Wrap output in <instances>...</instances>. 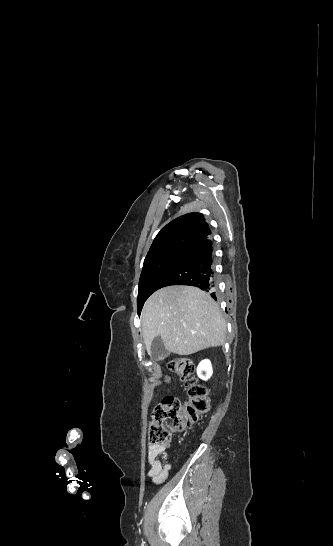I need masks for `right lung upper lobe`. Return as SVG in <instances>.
Returning a JSON list of instances; mask_svg holds the SVG:
<instances>
[{"label":"right lung upper lobe","mask_w":333,"mask_h":546,"mask_svg":"<svg viewBox=\"0 0 333 546\" xmlns=\"http://www.w3.org/2000/svg\"><path fill=\"white\" fill-rule=\"evenodd\" d=\"M211 236L204 216L189 213L167 224L155 237L146 257L169 248H193Z\"/></svg>","instance_id":"cb5924a9"}]
</instances>
